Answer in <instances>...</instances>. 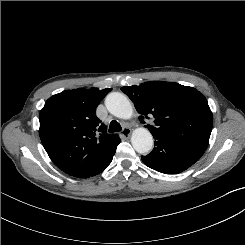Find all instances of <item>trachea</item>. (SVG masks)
<instances>
[{"mask_svg":"<svg viewBox=\"0 0 245 245\" xmlns=\"http://www.w3.org/2000/svg\"><path fill=\"white\" fill-rule=\"evenodd\" d=\"M121 130H122L121 125L117 121L112 120L108 131L112 133V132H119Z\"/></svg>","mask_w":245,"mask_h":245,"instance_id":"trachea-1","label":"trachea"}]
</instances>
